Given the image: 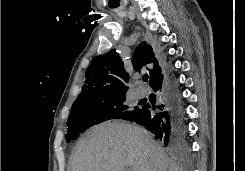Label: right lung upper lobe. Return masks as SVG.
Here are the masks:
<instances>
[{
  "instance_id": "1",
  "label": "right lung upper lobe",
  "mask_w": 245,
  "mask_h": 171,
  "mask_svg": "<svg viewBox=\"0 0 245 171\" xmlns=\"http://www.w3.org/2000/svg\"><path fill=\"white\" fill-rule=\"evenodd\" d=\"M132 63L134 70L140 71L148 63L155 64L150 70V85L155 83L163 74L162 68L154 56L152 47L142 42L135 50ZM124 63L115 49L106 54L95 57L85 74V84L76 101H84L123 94L128 87L124 82L128 81Z\"/></svg>"
}]
</instances>
